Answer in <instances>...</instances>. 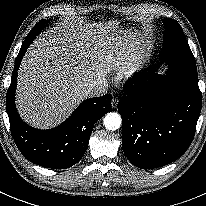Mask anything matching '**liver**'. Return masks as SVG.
Masks as SVG:
<instances>
[{"instance_id":"liver-1","label":"liver","mask_w":206,"mask_h":206,"mask_svg":"<svg viewBox=\"0 0 206 206\" xmlns=\"http://www.w3.org/2000/svg\"><path fill=\"white\" fill-rule=\"evenodd\" d=\"M139 43L113 23H65L31 44L18 70L16 104L22 119L54 127L88 97L87 89L133 61Z\"/></svg>"}]
</instances>
